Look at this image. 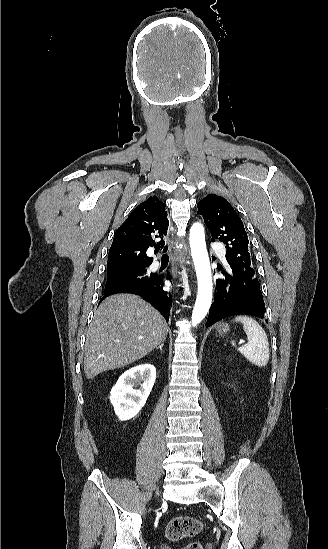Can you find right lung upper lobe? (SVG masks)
<instances>
[{
	"instance_id": "cb5924a9",
	"label": "right lung upper lobe",
	"mask_w": 328,
	"mask_h": 549,
	"mask_svg": "<svg viewBox=\"0 0 328 549\" xmlns=\"http://www.w3.org/2000/svg\"><path fill=\"white\" fill-rule=\"evenodd\" d=\"M169 222L165 203L150 196L138 205L117 229L108 254L107 274L122 270L148 267L152 258L146 255L155 244L154 238L167 234ZM163 251L168 247L159 242Z\"/></svg>"
}]
</instances>
